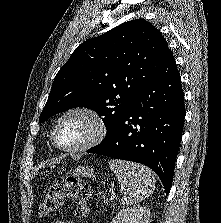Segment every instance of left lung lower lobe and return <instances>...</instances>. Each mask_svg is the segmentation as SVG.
I'll list each match as a JSON object with an SVG mask.
<instances>
[{
	"mask_svg": "<svg viewBox=\"0 0 221 223\" xmlns=\"http://www.w3.org/2000/svg\"><path fill=\"white\" fill-rule=\"evenodd\" d=\"M185 118L184 92L172 52L134 98L115 131L87 152L150 167L168 195Z\"/></svg>",
	"mask_w": 221,
	"mask_h": 223,
	"instance_id": "0a47b994",
	"label": "left lung lower lobe"
}]
</instances>
